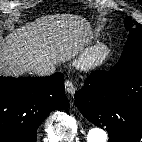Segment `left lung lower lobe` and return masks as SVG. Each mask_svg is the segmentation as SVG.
Wrapping results in <instances>:
<instances>
[{
	"mask_svg": "<svg viewBox=\"0 0 142 142\" xmlns=\"http://www.w3.org/2000/svg\"><path fill=\"white\" fill-rule=\"evenodd\" d=\"M74 103L86 119L106 127L108 142L138 141L142 137V67H113L91 74L75 93Z\"/></svg>",
	"mask_w": 142,
	"mask_h": 142,
	"instance_id": "1",
	"label": "left lung lower lobe"
}]
</instances>
